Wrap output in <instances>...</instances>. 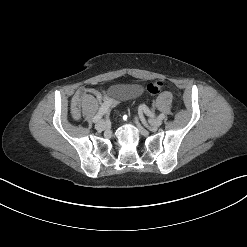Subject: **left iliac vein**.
<instances>
[{"label":"left iliac vein","mask_w":247,"mask_h":247,"mask_svg":"<svg viewBox=\"0 0 247 247\" xmlns=\"http://www.w3.org/2000/svg\"><path fill=\"white\" fill-rule=\"evenodd\" d=\"M149 124L152 128H157L162 124V120L159 118H153L149 120Z\"/></svg>","instance_id":"obj_1"}]
</instances>
